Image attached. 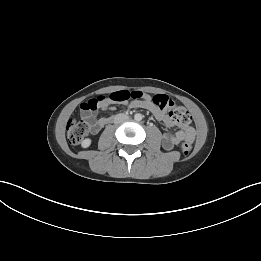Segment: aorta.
<instances>
[{
  "mask_svg": "<svg viewBox=\"0 0 261 261\" xmlns=\"http://www.w3.org/2000/svg\"><path fill=\"white\" fill-rule=\"evenodd\" d=\"M142 118H143V116L141 115V114H135V116H134V119L136 120V121H141L142 120Z\"/></svg>",
  "mask_w": 261,
  "mask_h": 261,
  "instance_id": "obj_1",
  "label": "aorta"
}]
</instances>
